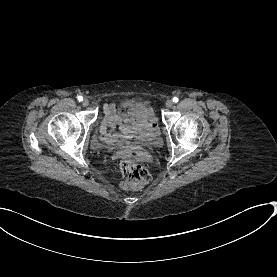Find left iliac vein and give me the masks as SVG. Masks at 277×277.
I'll list each match as a JSON object with an SVG mask.
<instances>
[{
  "label": "left iliac vein",
  "mask_w": 277,
  "mask_h": 277,
  "mask_svg": "<svg viewBox=\"0 0 277 277\" xmlns=\"http://www.w3.org/2000/svg\"><path fill=\"white\" fill-rule=\"evenodd\" d=\"M173 104H174V102L170 99L167 100L166 103H165L166 107H168V108H171L173 106Z\"/></svg>",
  "instance_id": "4c4485c4"
}]
</instances>
